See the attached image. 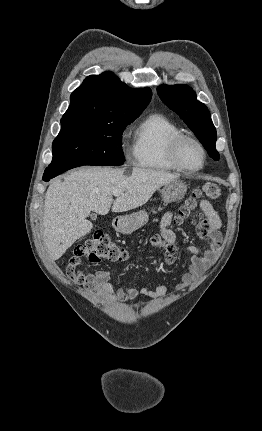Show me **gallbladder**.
I'll return each mask as SVG.
<instances>
[{"label":"gallbladder","mask_w":262,"mask_h":431,"mask_svg":"<svg viewBox=\"0 0 262 431\" xmlns=\"http://www.w3.org/2000/svg\"><path fill=\"white\" fill-rule=\"evenodd\" d=\"M96 217H97V215H96V214H92V215H91V218H92V219H96Z\"/></svg>","instance_id":"1"}]
</instances>
